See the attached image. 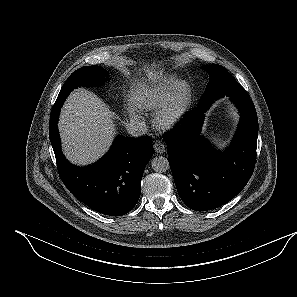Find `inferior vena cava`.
Masks as SVG:
<instances>
[{
    "label": "inferior vena cava",
    "mask_w": 297,
    "mask_h": 297,
    "mask_svg": "<svg viewBox=\"0 0 297 297\" xmlns=\"http://www.w3.org/2000/svg\"><path fill=\"white\" fill-rule=\"evenodd\" d=\"M127 131L133 137H140L145 134L146 125H145V123H143L141 121L132 120L127 125Z\"/></svg>",
    "instance_id": "obj_1"
}]
</instances>
